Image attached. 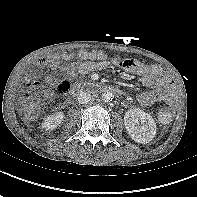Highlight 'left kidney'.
Segmentation results:
<instances>
[{"label": "left kidney", "instance_id": "1", "mask_svg": "<svg viewBox=\"0 0 197 197\" xmlns=\"http://www.w3.org/2000/svg\"><path fill=\"white\" fill-rule=\"evenodd\" d=\"M124 124L130 137L137 143H149L156 135L154 119L139 108L130 109L125 113Z\"/></svg>", "mask_w": 197, "mask_h": 197}]
</instances>
